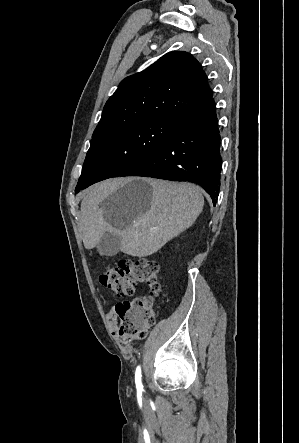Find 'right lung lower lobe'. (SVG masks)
I'll list each match as a JSON object with an SVG mask.
<instances>
[{
    "label": "right lung lower lobe",
    "mask_w": 299,
    "mask_h": 443,
    "mask_svg": "<svg viewBox=\"0 0 299 443\" xmlns=\"http://www.w3.org/2000/svg\"><path fill=\"white\" fill-rule=\"evenodd\" d=\"M220 135L212 96L183 114L173 134L147 159L121 176H143L199 184L217 202Z\"/></svg>",
    "instance_id": "obj_1"
}]
</instances>
